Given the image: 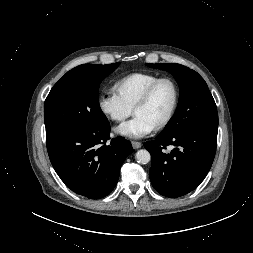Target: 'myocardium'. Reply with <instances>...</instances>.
Returning a JSON list of instances; mask_svg holds the SVG:
<instances>
[{
	"mask_svg": "<svg viewBox=\"0 0 253 253\" xmlns=\"http://www.w3.org/2000/svg\"><path fill=\"white\" fill-rule=\"evenodd\" d=\"M162 82H169L172 85L173 90H174V99H173V103L170 108V111L168 112L166 117L154 127L155 130H161V129L165 128L166 126H168L170 124V122L173 120V118L176 114V111L178 109L179 101H180V90H179V86H178L177 82L175 81V79H173L172 77L158 78L157 80L152 82L144 90L142 95L139 97V99L137 100V102L133 106V112L135 113L137 108L145 105L149 101V99L151 98V96H152L153 92L155 91V89L157 88V86L159 84H161Z\"/></svg>",
	"mask_w": 253,
	"mask_h": 253,
	"instance_id": "1",
	"label": "myocardium"
}]
</instances>
